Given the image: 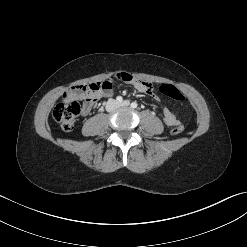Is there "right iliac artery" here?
Here are the masks:
<instances>
[{
  "mask_svg": "<svg viewBox=\"0 0 247 247\" xmlns=\"http://www.w3.org/2000/svg\"><path fill=\"white\" fill-rule=\"evenodd\" d=\"M116 101H117L118 103H121V102L123 101V98H122L121 96H117V97H116Z\"/></svg>",
  "mask_w": 247,
  "mask_h": 247,
  "instance_id": "82829eb1",
  "label": "right iliac artery"
}]
</instances>
